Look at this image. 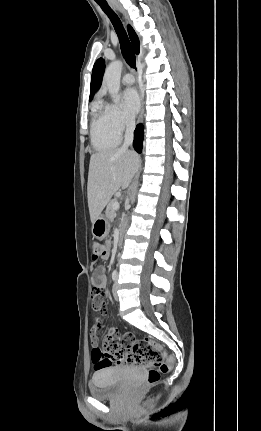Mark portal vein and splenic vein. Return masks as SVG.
I'll list each match as a JSON object with an SVG mask.
<instances>
[{
	"label": "portal vein and splenic vein",
	"mask_w": 261,
	"mask_h": 431,
	"mask_svg": "<svg viewBox=\"0 0 261 431\" xmlns=\"http://www.w3.org/2000/svg\"><path fill=\"white\" fill-rule=\"evenodd\" d=\"M113 208H114L115 210H118V209H119V203H118V202H115V203H114V205H113Z\"/></svg>",
	"instance_id": "portal-vein-and-splenic-vein-1"
}]
</instances>
